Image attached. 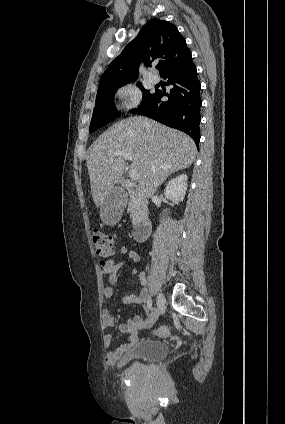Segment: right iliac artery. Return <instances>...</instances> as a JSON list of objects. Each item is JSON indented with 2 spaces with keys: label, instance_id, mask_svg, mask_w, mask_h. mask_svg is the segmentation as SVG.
Masks as SVG:
<instances>
[{
  "label": "right iliac artery",
  "instance_id": "1",
  "mask_svg": "<svg viewBox=\"0 0 285 424\" xmlns=\"http://www.w3.org/2000/svg\"><path fill=\"white\" fill-rule=\"evenodd\" d=\"M148 305H149V308L152 309V299L151 298L148 300Z\"/></svg>",
  "mask_w": 285,
  "mask_h": 424
}]
</instances>
